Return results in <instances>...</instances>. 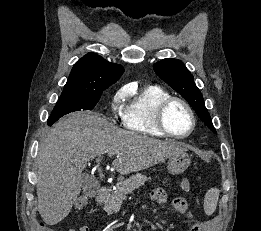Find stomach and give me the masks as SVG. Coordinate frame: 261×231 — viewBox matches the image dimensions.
Returning a JSON list of instances; mask_svg holds the SVG:
<instances>
[{
  "label": "stomach",
  "mask_w": 261,
  "mask_h": 231,
  "mask_svg": "<svg viewBox=\"0 0 261 231\" xmlns=\"http://www.w3.org/2000/svg\"><path fill=\"white\" fill-rule=\"evenodd\" d=\"M191 163V158L187 152H180L170 157L168 163V171L172 174H180L184 172Z\"/></svg>",
  "instance_id": "obj_1"
}]
</instances>
